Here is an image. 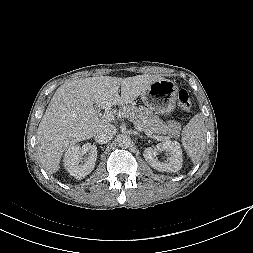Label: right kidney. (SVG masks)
Returning a JSON list of instances; mask_svg holds the SVG:
<instances>
[{
  "instance_id": "ca27d5eb",
  "label": "right kidney",
  "mask_w": 253,
  "mask_h": 253,
  "mask_svg": "<svg viewBox=\"0 0 253 253\" xmlns=\"http://www.w3.org/2000/svg\"><path fill=\"white\" fill-rule=\"evenodd\" d=\"M86 157L83 158V156ZM97 158V147L90 143L82 147L73 145L69 147L63 158L65 169L76 179H82L92 172Z\"/></svg>"
}]
</instances>
